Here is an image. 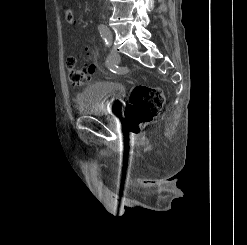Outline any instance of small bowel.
I'll use <instances>...</instances> for the list:
<instances>
[{
    "label": "small bowel",
    "mask_w": 247,
    "mask_h": 245,
    "mask_svg": "<svg viewBox=\"0 0 247 245\" xmlns=\"http://www.w3.org/2000/svg\"><path fill=\"white\" fill-rule=\"evenodd\" d=\"M65 15H66V20L69 23H72L74 20V15H73V11L70 8H66L65 10Z\"/></svg>",
    "instance_id": "obj_1"
}]
</instances>
